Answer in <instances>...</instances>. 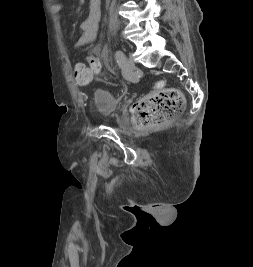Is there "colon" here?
<instances>
[{"label": "colon", "instance_id": "colon-1", "mask_svg": "<svg viewBox=\"0 0 253 267\" xmlns=\"http://www.w3.org/2000/svg\"><path fill=\"white\" fill-rule=\"evenodd\" d=\"M88 62L89 66L78 64L75 68V79L79 84L90 82L92 73L100 70L96 57L89 56ZM184 107L185 98L179 89L157 82L155 89L134 105L135 123L140 128L159 126L181 114Z\"/></svg>", "mask_w": 253, "mask_h": 267}]
</instances>
